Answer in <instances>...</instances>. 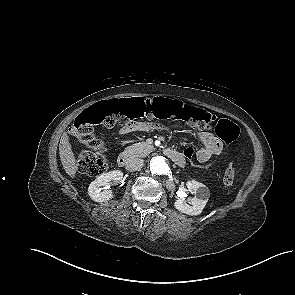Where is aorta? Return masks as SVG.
I'll list each match as a JSON object with an SVG mask.
<instances>
[{
  "label": "aorta",
  "mask_w": 295,
  "mask_h": 295,
  "mask_svg": "<svg viewBox=\"0 0 295 295\" xmlns=\"http://www.w3.org/2000/svg\"><path fill=\"white\" fill-rule=\"evenodd\" d=\"M150 170L152 174L162 175L168 172L169 166L163 156H155L150 161Z\"/></svg>",
  "instance_id": "aorta-1"
}]
</instances>
